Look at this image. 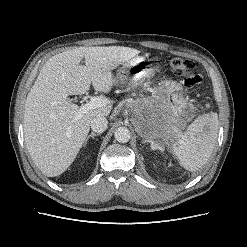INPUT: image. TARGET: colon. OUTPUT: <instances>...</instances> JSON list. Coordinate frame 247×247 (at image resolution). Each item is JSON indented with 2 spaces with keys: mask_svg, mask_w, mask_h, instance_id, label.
<instances>
[{
  "mask_svg": "<svg viewBox=\"0 0 247 247\" xmlns=\"http://www.w3.org/2000/svg\"><path fill=\"white\" fill-rule=\"evenodd\" d=\"M169 65L174 74L182 76L185 86L193 87L201 82V76L192 60L175 57L170 60Z\"/></svg>",
  "mask_w": 247,
  "mask_h": 247,
  "instance_id": "obj_1",
  "label": "colon"
}]
</instances>
